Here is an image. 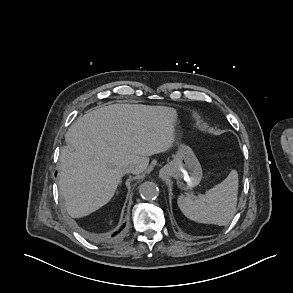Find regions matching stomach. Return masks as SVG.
<instances>
[{
	"label": "stomach",
	"instance_id": "stomach-1",
	"mask_svg": "<svg viewBox=\"0 0 293 293\" xmlns=\"http://www.w3.org/2000/svg\"><path fill=\"white\" fill-rule=\"evenodd\" d=\"M166 176L174 177L177 185L182 190H188L197 186L202 179V167L193 150L180 144L178 151L164 168Z\"/></svg>",
	"mask_w": 293,
	"mask_h": 293
}]
</instances>
